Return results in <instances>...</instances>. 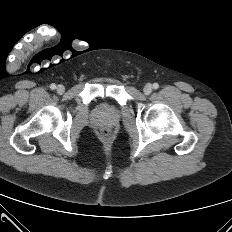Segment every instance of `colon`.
Listing matches in <instances>:
<instances>
[{
	"instance_id": "5ec220e1",
	"label": "colon",
	"mask_w": 232,
	"mask_h": 232,
	"mask_svg": "<svg viewBox=\"0 0 232 232\" xmlns=\"http://www.w3.org/2000/svg\"><path fill=\"white\" fill-rule=\"evenodd\" d=\"M103 134H104L105 136H107V135L109 134V131H108V130H103Z\"/></svg>"
}]
</instances>
